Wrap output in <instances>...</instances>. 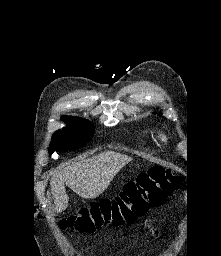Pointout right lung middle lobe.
Here are the masks:
<instances>
[{
    "label": "right lung middle lobe",
    "mask_w": 221,
    "mask_h": 256,
    "mask_svg": "<svg viewBox=\"0 0 221 256\" xmlns=\"http://www.w3.org/2000/svg\"><path fill=\"white\" fill-rule=\"evenodd\" d=\"M62 120L67 123L68 128H63L53 134L49 154H53L55 150L79 149L94 135L92 124L85 119L64 116Z\"/></svg>",
    "instance_id": "obj_1"
}]
</instances>
